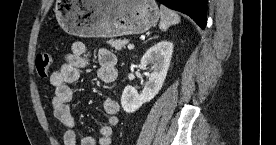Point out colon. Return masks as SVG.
<instances>
[{
	"label": "colon",
	"instance_id": "obj_1",
	"mask_svg": "<svg viewBox=\"0 0 276 145\" xmlns=\"http://www.w3.org/2000/svg\"><path fill=\"white\" fill-rule=\"evenodd\" d=\"M52 67V56L47 52L39 53L36 57V69L40 77H47Z\"/></svg>",
	"mask_w": 276,
	"mask_h": 145
}]
</instances>
